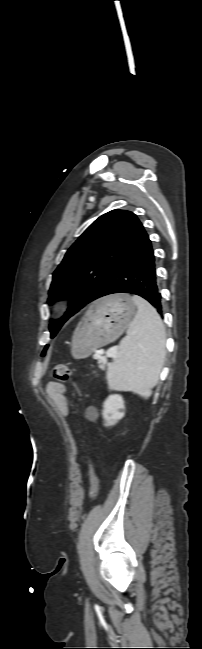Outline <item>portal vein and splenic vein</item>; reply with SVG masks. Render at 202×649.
<instances>
[{
	"mask_svg": "<svg viewBox=\"0 0 202 649\" xmlns=\"http://www.w3.org/2000/svg\"><path fill=\"white\" fill-rule=\"evenodd\" d=\"M115 356H116L115 352L112 351V350H110V351L107 352V356H106V357H115ZM106 357H105V356H100V355H96V356H95V358H96L98 361H104V360L106 359Z\"/></svg>",
	"mask_w": 202,
	"mask_h": 649,
	"instance_id": "1",
	"label": "portal vein and splenic vein"
}]
</instances>
